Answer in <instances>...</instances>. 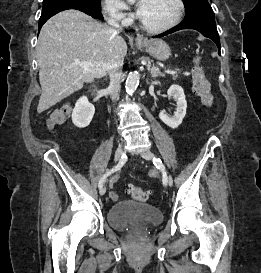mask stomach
Segmentation results:
<instances>
[{"instance_id": "stomach-1", "label": "stomach", "mask_w": 261, "mask_h": 273, "mask_svg": "<svg viewBox=\"0 0 261 273\" xmlns=\"http://www.w3.org/2000/svg\"><path fill=\"white\" fill-rule=\"evenodd\" d=\"M138 48H146V51L158 60H167L171 56V51L166 42L162 40H154L150 42H137Z\"/></svg>"}]
</instances>
